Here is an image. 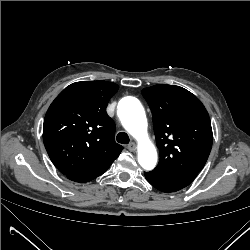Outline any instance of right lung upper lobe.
I'll return each mask as SVG.
<instances>
[{
    "label": "right lung upper lobe",
    "mask_w": 250,
    "mask_h": 250,
    "mask_svg": "<svg viewBox=\"0 0 250 250\" xmlns=\"http://www.w3.org/2000/svg\"><path fill=\"white\" fill-rule=\"evenodd\" d=\"M117 90V84L102 80L76 82L50 105L43 141L53 164L68 178L101 170L121 153L115 123L106 113Z\"/></svg>",
    "instance_id": "obj_1"
}]
</instances>
